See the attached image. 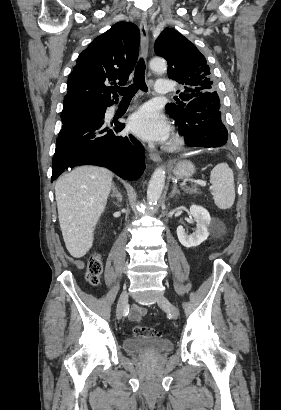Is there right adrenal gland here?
<instances>
[{
    "label": "right adrenal gland",
    "mask_w": 281,
    "mask_h": 410,
    "mask_svg": "<svg viewBox=\"0 0 281 410\" xmlns=\"http://www.w3.org/2000/svg\"><path fill=\"white\" fill-rule=\"evenodd\" d=\"M111 197H115L117 198L118 202H122V195L119 192V190L117 189V187L115 186V184H112V194Z\"/></svg>",
    "instance_id": "right-adrenal-gland-1"
}]
</instances>
